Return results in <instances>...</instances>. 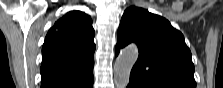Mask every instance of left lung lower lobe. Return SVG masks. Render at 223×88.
Segmentation results:
<instances>
[{"mask_svg": "<svg viewBox=\"0 0 223 88\" xmlns=\"http://www.w3.org/2000/svg\"><path fill=\"white\" fill-rule=\"evenodd\" d=\"M128 88H143L141 84H139L136 80H134L131 76H130V82L128 85Z\"/></svg>", "mask_w": 223, "mask_h": 88, "instance_id": "0a47b994", "label": "left lung lower lobe"}]
</instances>
